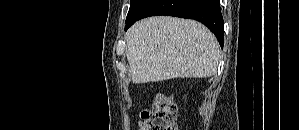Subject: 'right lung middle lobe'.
I'll list each match as a JSON object with an SVG mask.
<instances>
[{
	"label": "right lung middle lobe",
	"mask_w": 299,
	"mask_h": 130,
	"mask_svg": "<svg viewBox=\"0 0 299 130\" xmlns=\"http://www.w3.org/2000/svg\"><path fill=\"white\" fill-rule=\"evenodd\" d=\"M147 0H131L130 9L126 18V25L130 23L134 14L139 10V8L146 2Z\"/></svg>",
	"instance_id": "right-lung-middle-lobe-1"
}]
</instances>
